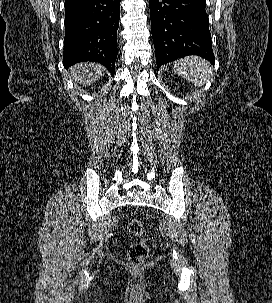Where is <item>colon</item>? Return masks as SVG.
<instances>
[{
    "label": "colon",
    "mask_w": 272,
    "mask_h": 303,
    "mask_svg": "<svg viewBox=\"0 0 272 303\" xmlns=\"http://www.w3.org/2000/svg\"><path fill=\"white\" fill-rule=\"evenodd\" d=\"M128 232L136 239L128 248V258L133 265L139 266L147 259L150 251L143 222L137 218L132 219L128 224Z\"/></svg>",
    "instance_id": "1"
}]
</instances>
